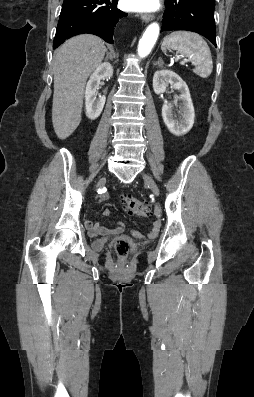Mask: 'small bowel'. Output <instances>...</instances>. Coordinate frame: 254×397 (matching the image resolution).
Segmentation results:
<instances>
[{
	"mask_svg": "<svg viewBox=\"0 0 254 397\" xmlns=\"http://www.w3.org/2000/svg\"><path fill=\"white\" fill-rule=\"evenodd\" d=\"M102 200H106V196L103 195L101 197ZM104 215L106 216H110V211L109 210H105L104 211ZM85 226L89 232V235L92 237H95L97 235H108V234H112L114 232H121L124 230V226L119 223L117 228L115 230H109L103 226H101L99 223L94 222L93 220H91L90 218H87L85 220ZM160 229V223L159 222H155L153 225V229L152 231L149 233V237L153 238L158 234V231Z\"/></svg>",
	"mask_w": 254,
	"mask_h": 397,
	"instance_id": "c3829d8e",
	"label": "small bowel"
}]
</instances>
